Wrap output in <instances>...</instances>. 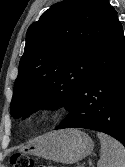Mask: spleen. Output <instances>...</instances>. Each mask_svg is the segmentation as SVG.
Returning <instances> with one entry per match:
<instances>
[{
    "mask_svg": "<svg viewBox=\"0 0 125 167\" xmlns=\"http://www.w3.org/2000/svg\"><path fill=\"white\" fill-rule=\"evenodd\" d=\"M101 142L97 167H125V147L114 138L97 133Z\"/></svg>",
    "mask_w": 125,
    "mask_h": 167,
    "instance_id": "obj_1",
    "label": "spleen"
}]
</instances>
